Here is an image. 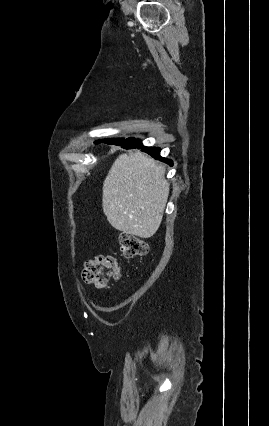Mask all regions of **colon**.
Instances as JSON below:
<instances>
[{
    "instance_id": "obj_1",
    "label": "colon",
    "mask_w": 269,
    "mask_h": 426,
    "mask_svg": "<svg viewBox=\"0 0 269 426\" xmlns=\"http://www.w3.org/2000/svg\"><path fill=\"white\" fill-rule=\"evenodd\" d=\"M119 242L125 258L145 255L148 245L143 238L127 232H121ZM123 276L121 263L112 255H100L88 259L82 269L84 282L95 286H106L110 280H119Z\"/></svg>"
}]
</instances>
